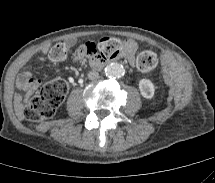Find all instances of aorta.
<instances>
[{
    "label": "aorta",
    "instance_id": "obj_1",
    "mask_svg": "<svg viewBox=\"0 0 215 183\" xmlns=\"http://www.w3.org/2000/svg\"><path fill=\"white\" fill-rule=\"evenodd\" d=\"M105 74L112 78H119L125 74L124 67L119 63H111L104 69Z\"/></svg>",
    "mask_w": 215,
    "mask_h": 183
}]
</instances>
